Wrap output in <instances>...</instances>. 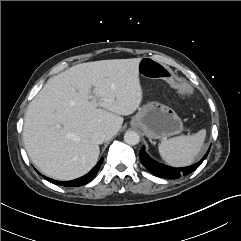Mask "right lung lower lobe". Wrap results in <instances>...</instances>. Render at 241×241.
<instances>
[{
  "label": "right lung lower lobe",
  "mask_w": 241,
  "mask_h": 241,
  "mask_svg": "<svg viewBox=\"0 0 241 241\" xmlns=\"http://www.w3.org/2000/svg\"><path fill=\"white\" fill-rule=\"evenodd\" d=\"M103 162V158L100 159V161L96 164V166L86 175L75 179L74 181H67V182H60V181H55L53 179H50L48 177H45L46 180L50 181L51 183L57 184V185H64V186H82L87 183H89L97 174L99 171L101 165Z\"/></svg>",
  "instance_id": "right-lung-lower-lobe-1"
}]
</instances>
